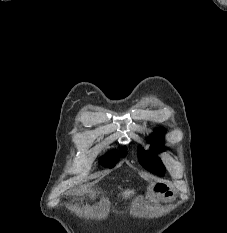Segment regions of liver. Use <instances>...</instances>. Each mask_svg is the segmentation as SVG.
<instances>
[{
  "label": "liver",
  "instance_id": "6515ba94",
  "mask_svg": "<svg viewBox=\"0 0 227 233\" xmlns=\"http://www.w3.org/2000/svg\"><path fill=\"white\" fill-rule=\"evenodd\" d=\"M133 193H134L133 190H125V191L123 192V197L128 198V197H130V195H132Z\"/></svg>",
  "mask_w": 227,
  "mask_h": 233
}]
</instances>
